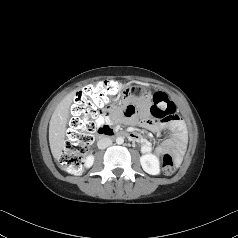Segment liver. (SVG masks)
I'll return each mask as SVG.
<instances>
[{"instance_id":"liver-1","label":"liver","mask_w":238,"mask_h":238,"mask_svg":"<svg viewBox=\"0 0 238 238\" xmlns=\"http://www.w3.org/2000/svg\"><path fill=\"white\" fill-rule=\"evenodd\" d=\"M76 90L67 94L57 105L49 123V143L53 157L59 160L65 147V132L69 118V109Z\"/></svg>"}]
</instances>
